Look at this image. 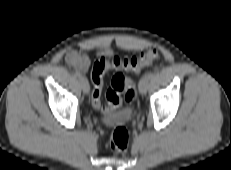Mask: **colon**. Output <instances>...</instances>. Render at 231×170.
<instances>
[{
    "instance_id": "1",
    "label": "colon",
    "mask_w": 231,
    "mask_h": 170,
    "mask_svg": "<svg viewBox=\"0 0 231 170\" xmlns=\"http://www.w3.org/2000/svg\"><path fill=\"white\" fill-rule=\"evenodd\" d=\"M159 58L158 50L151 48L143 52L138 57L120 58L113 57L108 60L104 57L97 59L91 70V81L93 85L91 101L94 108L108 113L116 108L124 99L127 103H132L136 98L134 84L124 73H138L144 67L152 64ZM108 70L115 71L110 87L106 92L108 106L102 104V88L104 75ZM129 144V133L125 127H116L110 136V146L116 152H124Z\"/></svg>"
}]
</instances>
